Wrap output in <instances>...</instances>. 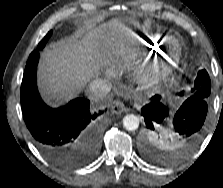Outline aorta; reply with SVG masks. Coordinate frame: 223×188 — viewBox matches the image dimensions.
<instances>
[{
    "label": "aorta",
    "instance_id": "762f6f07",
    "mask_svg": "<svg viewBox=\"0 0 223 188\" xmlns=\"http://www.w3.org/2000/svg\"><path fill=\"white\" fill-rule=\"evenodd\" d=\"M123 126L127 131H135L139 127V118L133 114H128L123 118Z\"/></svg>",
    "mask_w": 223,
    "mask_h": 188
}]
</instances>
